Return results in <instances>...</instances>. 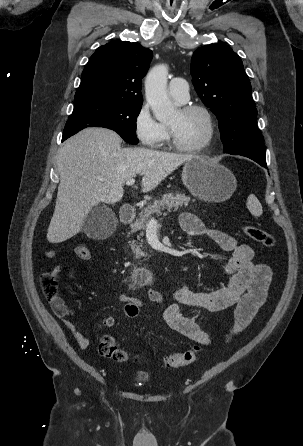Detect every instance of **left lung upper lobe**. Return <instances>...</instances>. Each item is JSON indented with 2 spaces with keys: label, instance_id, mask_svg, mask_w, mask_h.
Returning a JSON list of instances; mask_svg holds the SVG:
<instances>
[{
  "label": "left lung upper lobe",
  "instance_id": "5c2ea615",
  "mask_svg": "<svg viewBox=\"0 0 303 446\" xmlns=\"http://www.w3.org/2000/svg\"><path fill=\"white\" fill-rule=\"evenodd\" d=\"M192 83L219 121L224 153L266 160L251 84L239 56L226 44L198 48L191 59Z\"/></svg>",
  "mask_w": 303,
  "mask_h": 446
}]
</instances>
